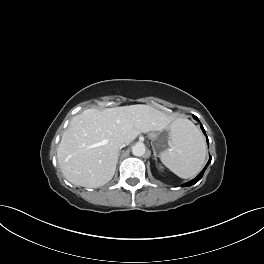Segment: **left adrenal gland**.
I'll return each instance as SVG.
<instances>
[{"label":"left adrenal gland","instance_id":"obj_1","mask_svg":"<svg viewBox=\"0 0 264 264\" xmlns=\"http://www.w3.org/2000/svg\"><path fill=\"white\" fill-rule=\"evenodd\" d=\"M153 153H154V157H155V160H157V154H156V151H155V149L153 148Z\"/></svg>","mask_w":264,"mask_h":264}]
</instances>
